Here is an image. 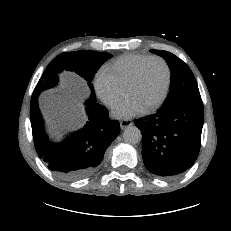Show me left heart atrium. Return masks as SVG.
Returning a JSON list of instances; mask_svg holds the SVG:
<instances>
[{
  "instance_id": "left-heart-atrium-1",
  "label": "left heart atrium",
  "mask_w": 231,
  "mask_h": 231,
  "mask_svg": "<svg viewBox=\"0 0 231 231\" xmlns=\"http://www.w3.org/2000/svg\"><path fill=\"white\" fill-rule=\"evenodd\" d=\"M145 108L135 99L126 97L119 102L113 109V115L118 118H132L141 114Z\"/></svg>"
}]
</instances>
